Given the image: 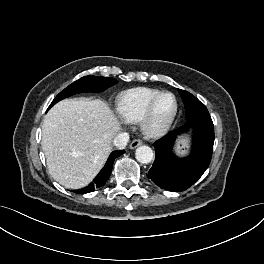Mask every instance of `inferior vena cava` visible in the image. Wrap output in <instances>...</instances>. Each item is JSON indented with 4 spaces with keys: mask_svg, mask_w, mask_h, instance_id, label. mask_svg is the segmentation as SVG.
<instances>
[{
    "mask_svg": "<svg viewBox=\"0 0 264 264\" xmlns=\"http://www.w3.org/2000/svg\"><path fill=\"white\" fill-rule=\"evenodd\" d=\"M129 141V134L126 132H122L116 135L113 140V145L117 149H124Z\"/></svg>",
    "mask_w": 264,
    "mask_h": 264,
    "instance_id": "obj_1",
    "label": "inferior vena cava"
}]
</instances>
